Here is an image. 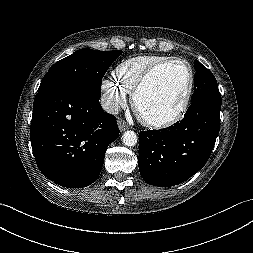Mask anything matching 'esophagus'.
Segmentation results:
<instances>
[{"label":"esophagus","instance_id":"34e87169","mask_svg":"<svg viewBox=\"0 0 253 253\" xmlns=\"http://www.w3.org/2000/svg\"><path fill=\"white\" fill-rule=\"evenodd\" d=\"M118 127H119V129H120L121 132L129 129V126L127 125V123L124 120H122V119L118 120Z\"/></svg>","mask_w":253,"mask_h":253}]
</instances>
